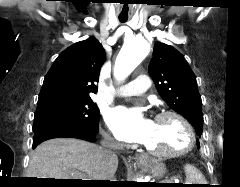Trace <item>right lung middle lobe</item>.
I'll return each instance as SVG.
<instances>
[{"label": "right lung middle lobe", "mask_w": 240, "mask_h": 187, "mask_svg": "<svg viewBox=\"0 0 240 187\" xmlns=\"http://www.w3.org/2000/svg\"><path fill=\"white\" fill-rule=\"evenodd\" d=\"M99 115V109L91 98L56 100L37 106L33 131L49 125L92 129L98 127Z\"/></svg>", "instance_id": "dd1d6c3e"}]
</instances>
